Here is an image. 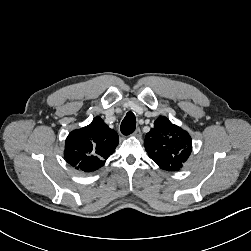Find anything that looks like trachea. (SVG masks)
Segmentation results:
<instances>
[{
  "mask_svg": "<svg viewBox=\"0 0 251 251\" xmlns=\"http://www.w3.org/2000/svg\"><path fill=\"white\" fill-rule=\"evenodd\" d=\"M135 128H136L135 115L132 112H128L121 123L120 126L121 133L123 135H129L135 131Z\"/></svg>",
  "mask_w": 251,
  "mask_h": 251,
  "instance_id": "trachea-1",
  "label": "trachea"
}]
</instances>
